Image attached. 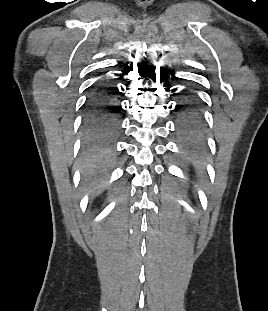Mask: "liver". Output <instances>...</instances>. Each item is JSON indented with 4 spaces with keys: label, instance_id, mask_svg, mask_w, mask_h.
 Listing matches in <instances>:
<instances>
[{
    "label": "liver",
    "instance_id": "obj_1",
    "mask_svg": "<svg viewBox=\"0 0 268 311\" xmlns=\"http://www.w3.org/2000/svg\"><path fill=\"white\" fill-rule=\"evenodd\" d=\"M111 158L106 152H88L82 160V175L94 194L104 190V176L110 165Z\"/></svg>",
    "mask_w": 268,
    "mask_h": 311
}]
</instances>
